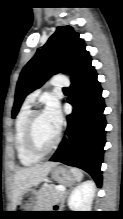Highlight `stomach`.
<instances>
[{
    "instance_id": "0dacf381",
    "label": "stomach",
    "mask_w": 123,
    "mask_h": 219,
    "mask_svg": "<svg viewBox=\"0 0 123 219\" xmlns=\"http://www.w3.org/2000/svg\"><path fill=\"white\" fill-rule=\"evenodd\" d=\"M52 178L65 185H71L76 181L75 176L72 174L71 170L65 168L64 166L56 165L51 169ZM39 203V196L35 190H29L26 195L25 200H21L19 203L21 208L25 209L23 211H35Z\"/></svg>"
}]
</instances>
